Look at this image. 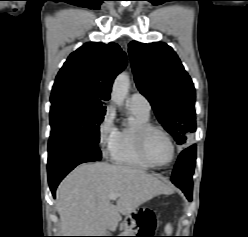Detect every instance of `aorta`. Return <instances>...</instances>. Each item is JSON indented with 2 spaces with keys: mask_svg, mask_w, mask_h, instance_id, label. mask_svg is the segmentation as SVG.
Listing matches in <instances>:
<instances>
[{
  "mask_svg": "<svg viewBox=\"0 0 248 237\" xmlns=\"http://www.w3.org/2000/svg\"><path fill=\"white\" fill-rule=\"evenodd\" d=\"M129 87V75L126 72H122L116 77L111 93V99L116 105H123V102L128 94Z\"/></svg>",
  "mask_w": 248,
  "mask_h": 237,
  "instance_id": "obj_1",
  "label": "aorta"
}]
</instances>
